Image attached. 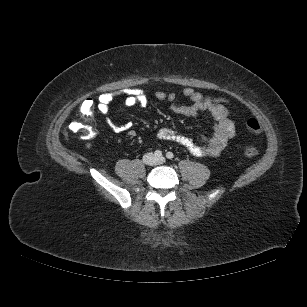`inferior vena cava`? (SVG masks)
I'll return each mask as SVG.
<instances>
[{"mask_svg":"<svg viewBox=\"0 0 307 307\" xmlns=\"http://www.w3.org/2000/svg\"><path fill=\"white\" fill-rule=\"evenodd\" d=\"M151 158H153V154L152 153H147L143 156V161L146 163V164H152L151 163Z\"/></svg>","mask_w":307,"mask_h":307,"instance_id":"obj_1","label":"inferior vena cava"}]
</instances>
